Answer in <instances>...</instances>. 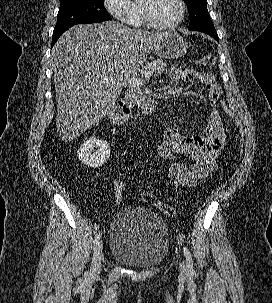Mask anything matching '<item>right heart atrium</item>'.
<instances>
[{"label":"right heart atrium","instance_id":"1","mask_svg":"<svg viewBox=\"0 0 272 303\" xmlns=\"http://www.w3.org/2000/svg\"><path fill=\"white\" fill-rule=\"evenodd\" d=\"M107 11L119 21L132 23V1L131 0H104Z\"/></svg>","mask_w":272,"mask_h":303}]
</instances>
